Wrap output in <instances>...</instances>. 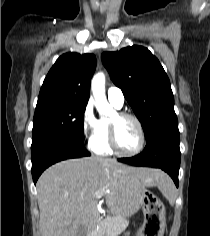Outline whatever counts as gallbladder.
Segmentation results:
<instances>
[{
  "instance_id": "obj_1",
  "label": "gallbladder",
  "mask_w": 210,
  "mask_h": 236,
  "mask_svg": "<svg viewBox=\"0 0 210 236\" xmlns=\"http://www.w3.org/2000/svg\"><path fill=\"white\" fill-rule=\"evenodd\" d=\"M86 231H87L86 227L84 225H80L78 228L77 236H85Z\"/></svg>"
}]
</instances>
